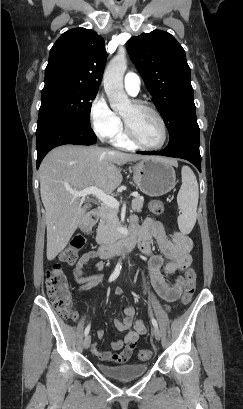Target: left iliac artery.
I'll use <instances>...</instances> for the list:
<instances>
[{"mask_svg": "<svg viewBox=\"0 0 243 409\" xmlns=\"http://www.w3.org/2000/svg\"><path fill=\"white\" fill-rule=\"evenodd\" d=\"M150 318H151L152 325H153L155 328H158L157 321H156V319L153 317V314H152L151 311H150Z\"/></svg>", "mask_w": 243, "mask_h": 409, "instance_id": "1", "label": "left iliac artery"}]
</instances>
